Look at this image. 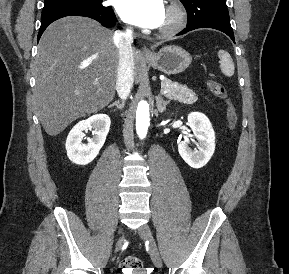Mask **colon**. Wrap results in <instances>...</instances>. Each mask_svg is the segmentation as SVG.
<instances>
[{"instance_id":"1","label":"colon","mask_w":289,"mask_h":274,"mask_svg":"<svg viewBox=\"0 0 289 274\" xmlns=\"http://www.w3.org/2000/svg\"><path fill=\"white\" fill-rule=\"evenodd\" d=\"M207 85L215 97L226 103V119L228 127L230 130H233L237 125L238 116L234 105L228 98L225 86L213 79L208 80ZM120 266L124 272L141 271L143 268L141 260L135 256L125 257L121 261Z\"/></svg>"}]
</instances>
